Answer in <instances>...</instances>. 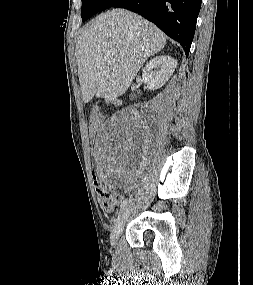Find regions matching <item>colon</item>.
I'll use <instances>...</instances> for the list:
<instances>
[{
  "instance_id": "obj_1",
  "label": "colon",
  "mask_w": 253,
  "mask_h": 285,
  "mask_svg": "<svg viewBox=\"0 0 253 285\" xmlns=\"http://www.w3.org/2000/svg\"><path fill=\"white\" fill-rule=\"evenodd\" d=\"M102 117L98 112H94L89 119V137H90V146H89V168L92 172V176H95V189L98 196L99 204L102 210L106 213H112L116 206L119 203L120 196L118 192L114 189H111L105 186L103 183L98 181L99 176V167H97V153L96 148L98 145L97 134L98 127L101 124Z\"/></svg>"
}]
</instances>
